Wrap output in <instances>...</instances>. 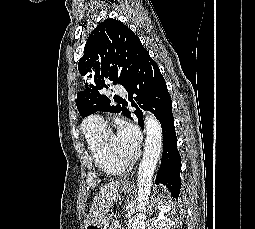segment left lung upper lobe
<instances>
[{
  "label": "left lung upper lobe",
  "mask_w": 255,
  "mask_h": 229,
  "mask_svg": "<svg viewBox=\"0 0 255 229\" xmlns=\"http://www.w3.org/2000/svg\"><path fill=\"white\" fill-rule=\"evenodd\" d=\"M147 50L140 39L121 21L106 19L90 34L78 69L85 76V90L77 94V109L82 117L96 111L124 114L125 108L111 106L100 94L110 83L124 86Z\"/></svg>",
  "instance_id": "1"
}]
</instances>
